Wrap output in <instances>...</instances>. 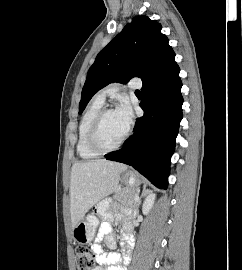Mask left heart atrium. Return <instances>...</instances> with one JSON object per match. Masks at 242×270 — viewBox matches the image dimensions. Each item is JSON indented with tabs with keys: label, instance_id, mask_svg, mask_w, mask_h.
I'll return each mask as SVG.
<instances>
[{
	"label": "left heart atrium",
	"instance_id": "1",
	"mask_svg": "<svg viewBox=\"0 0 242 270\" xmlns=\"http://www.w3.org/2000/svg\"><path fill=\"white\" fill-rule=\"evenodd\" d=\"M117 113L119 114L123 124L128 129L130 124L132 123V108L128 102H123L117 109Z\"/></svg>",
	"mask_w": 242,
	"mask_h": 270
}]
</instances>
